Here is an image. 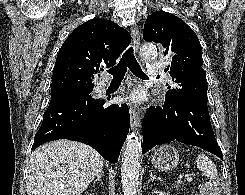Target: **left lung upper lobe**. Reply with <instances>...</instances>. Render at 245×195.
Returning <instances> with one entry per match:
<instances>
[{
  "instance_id": "5c2ea615",
  "label": "left lung upper lobe",
  "mask_w": 245,
  "mask_h": 195,
  "mask_svg": "<svg viewBox=\"0 0 245 195\" xmlns=\"http://www.w3.org/2000/svg\"><path fill=\"white\" fill-rule=\"evenodd\" d=\"M143 38L160 43L165 53H174L170 72L175 89L166 93V100L177 102L195 99L204 103L207 94L206 72L202 48L195 32L180 18L164 11L152 13L144 25Z\"/></svg>"
}]
</instances>
